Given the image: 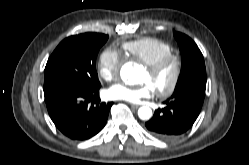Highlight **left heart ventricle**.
Returning a JSON list of instances; mask_svg holds the SVG:
<instances>
[{
    "label": "left heart ventricle",
    "instance_id": "left-heart-ventricle-1",
    "mask_svg": "<svg viewBox=\"0 0 249 165\" xmlns=\"http://www.w3.org/2000/svg\"><path fill=\"white\" fill-rule=\"evenodd\" d=\"M169 75V69H166L162 74H160L158 77L153 78L150 76L148 71L144 68L141 71L140 74V80L141 81H147L149 82L154 88L157 86H161L165 83Z\"/></svg>",
    "mask_w": 249,
    "mask_h": 165
}]
</instances>
